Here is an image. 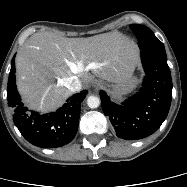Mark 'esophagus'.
<instances>
[{"mask_svg":"<svg viewBox=\"0 0 187 187\" xmlns=\"http://www.w3.org/2000/svg\"><path fill=\"white\" fill-rule=\"evenodd\" d=\"M92 86L95 89H99V88H101L103 86V83L100 80H95V81H93Z\"/></svg>","mask_w":187,"mask_h":187,"instance_id":"obj_1","label":"esophagus"}]
</instances>
